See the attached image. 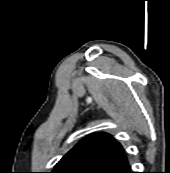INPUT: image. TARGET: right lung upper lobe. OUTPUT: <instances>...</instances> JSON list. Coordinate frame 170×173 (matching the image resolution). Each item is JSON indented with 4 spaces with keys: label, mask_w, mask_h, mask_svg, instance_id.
<instances>
[{
    "label": "right lung upper lobe",
    "mask_w": 170,
    "mask_h": 173,
    "mask_svg": "<svg viewBox=\"0 0 170 173\" xmlns=\"http://www.w3.org/2000/svg\"><path fill=\"white\" fill-rule=\"evenodd\" d=\"M126 161L121 144L110 134L99 132L83 138L50 173H105Z\"/></svg>",
    "instance_id": "cb5924a9"
}]
</instances>
